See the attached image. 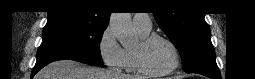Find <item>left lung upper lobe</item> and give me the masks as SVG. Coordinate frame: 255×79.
Masks as SVG:
<instances>
[{
	"label": "left lung upper lobe",
	"instance_id": "obj_1",
	"mask_svg": "<svg viewBox=\"0 0 255 79\" xmlns=\"http://www.w3.org/2000/svg\"><path fill=\"white\" fill-rule=\"evenodd\" d=\"M160 6L154 14L159 27L179 50L187 73L218 70L210 30L200 12L166 11L174 1L157 0Z\"/></svg>",
	"mask_w": 255,
	"mask_h": 79
}]
</instances>
